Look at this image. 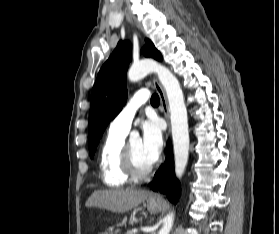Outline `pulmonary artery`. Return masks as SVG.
I'll return each instance as SVG.
<instances>
[{
  "label": "pulmonary artery",
  "mask_w": 279,
  "mask_h": 234,
  "mask_svg": "<svg viewBox=\"0 0 279 234\" xmlns=\"http://www.w3.org/2000/svg\"><path fill=\"white\" fill-rule=\"evenodd\" d=\"M149 99V94L144 91L136 92L113 119L110 124V130L114 132L127 133L137 109Z\"/></svg>",
  "instance_id": "1"
}]
</instances>
